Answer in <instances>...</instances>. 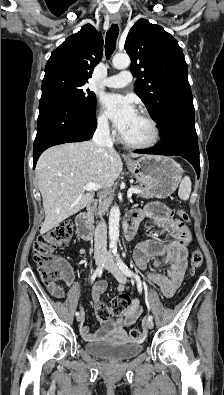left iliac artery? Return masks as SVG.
<instances>
[{"mask_svg": "<svg viewBox=\"0 0 224 395\" xmlns=\"http://www.w3.org/2000/svg\"><path fill=\"white\" fill-rule=\"evenodd\" d=\"M115 256L117 257V264L119 266V269L128 277H134L137 281V289L139 291V293L142 292V283L140 280V277L138 275H135L129 268L128 266L119 258V255L117 254V250L114 251ZM148 309H150L149 305ZM149 319L153 320L152 315H149L148 317Z\"/></svg>", "mask_w": 224, "mask_h": 395, "instance_id": "1", "label": "left iliac artery"}]
</instances>
